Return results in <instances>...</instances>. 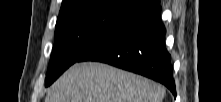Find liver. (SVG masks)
Instances as JSON below:
<instances>
[{
	"instance_id": "liver-1",
	"label": "liver",
	"mask_w": 221,
	"mask_h": 102,
	"mask_svg": "<svg viewBox=\"0 0 221 102\" xmlns=\"http://www.w3.org/2000/svg\"><path fill=\"white\" fill-rule=\"evenodd\" d=\"M165 89L142 76L97 62L71 66L45 102H162Z\"/></svg>"
}]
</instances>
